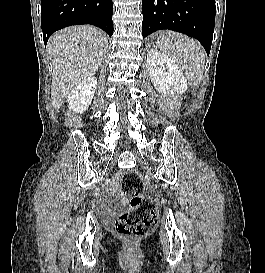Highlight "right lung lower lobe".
<instances>
[{
    "label": "right lung lower lobe",
    "mask_w": 265,
    "mask_h": 273,
    "mask_svg": "<svg viewBox=\"0 0 265 273\" xmlns=\"http://www.w3.org/2000/svg\"><path fill=\"white\" fill-rule=\"evenodd\" d=\"M112 15V0H41L44 43L55 31L79 24L95 25L112 36Z\"/></svg>",
    "instance_id": "98d812e1"
}]
</instances>
